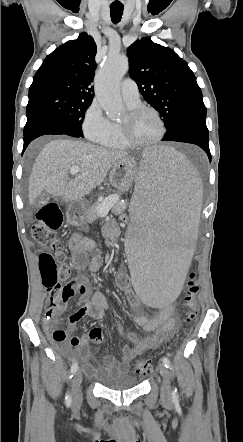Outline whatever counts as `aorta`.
<instances>
[{
  "label": "aorta",
  "instance_id": "obj_1",
  "mask_svg": "<svg viewBox=\"0 0 243 442\" xmlns=\"http://www.w3.org/2000/svg\"><path fill=\"white\" fill-rule=\"evenodd\" d=\"M129 68L128 59L109 55L95 78V95L108 117L115 118L123 112L119 82Z\"/></svg>",
  "mask_w": 243,
  "mask_h": 442
}]
</instances>
